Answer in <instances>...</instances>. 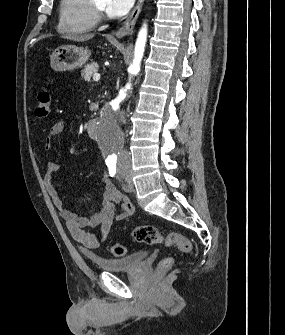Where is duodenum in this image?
<instances>
[{"mask_svg":"<svg viewBox=\"0 0 285 335\" xmlns=\"http://www.w3.org/2000/svg\"><path fill=\"white\" fill-rule=\"evenodd\" d=\"M97 125H98V123L94 119H90L87 122V125H86V129H87L88 134L93 138H95L96 135H97V133H96Z\"/></svg>","mask_w":285,"mask_h":335,"instance_id":"duodenum-1","label":"duodenum"}]
</instances>
